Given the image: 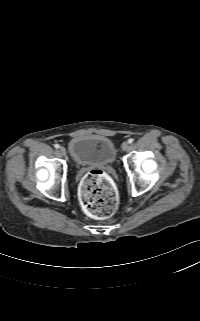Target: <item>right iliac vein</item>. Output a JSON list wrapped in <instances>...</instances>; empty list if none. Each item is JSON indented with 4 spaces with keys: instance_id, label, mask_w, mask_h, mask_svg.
Returning <instances> with one entry per match:
<instances>
[{
    "instance_id": "1",
    "label": "right iliac vein",
    "mask_w": 200,
    "mask_h": 321,
    "mask_svg": "<svg viewBox=\"0 0 200 321\" xmlns=\"http://www.w3.org/2000/svg\"><path fill=\"white\" fill-rule=\"evenodd\" d=\"M59 152L62 154V155H65L66 154V150L64 147H60L59 148Z\"/></svg>"
}]
</instances>
